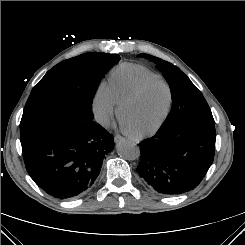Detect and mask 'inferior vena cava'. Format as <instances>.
Instances as JSON below:
<instances>
[{
	"instance_id": "inferior-vena-cava-1",
	"label": "inferior vena cava",
	"mask_w": 245,
	"mask_h": 245,
	"mask_svg": "<svg viewBox=\"0 0 245 245\" xmlns=\"http://www.w3.org/2000/svg\"><path fill=\"white\" fill-rule=\"evenodd\" d=\"M96 121H97L100 125L105 126V127L109 126V124H110V119H109V117L106 116V115H97V116H96Z\"/></svg>"
}]
</instances>
